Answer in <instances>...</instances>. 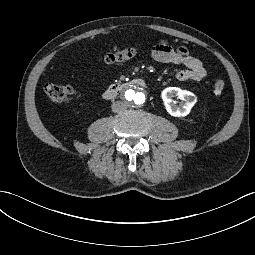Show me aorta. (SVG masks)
Returning <instances> with one entry per match:
<instances>
[{
    "label": "aorta",
    "mask_w": 255,
    "mask_h": 255,
    "mask_svg": "<svg viewBox=\"0 0 255 255\" xmlns=\"http://www.w3.org/2000/svg\"><path fill=\"white\" fill-rule=\"evenodd\" d=\"M124 98L131 107H140L146 100L145 94L139 87H131L127 89L124 93Z\"/></svg>",
    "instance_id": "1"
}]
</instances>
